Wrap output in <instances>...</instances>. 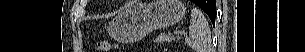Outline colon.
Masks as SVG:
<instances>
[{"mask_svg": "<svg viewBox=\"0 0 305 52\" xmlns=\"http://www.w3.org/2000/svg\"><path fill=\"white\" fill-rule=\"evenodd\" d=\"M116 47L114 43H110L108 41H101L98 45V51L104 52V51H111Z\"/></svg>", "mask_w": 305, "mask_h": 52, "instance_id": "colon-1", "label": "colon"}]
</instances>
